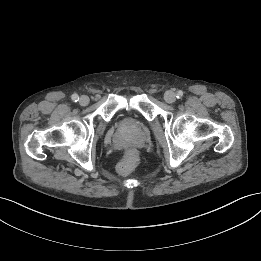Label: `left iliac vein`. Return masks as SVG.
<instances>
[{"label": "left iliac vein", "instance_id": "left-iliac-vein-1", "mask_svg": "<svg viewBox=\"0 0 261 261\" xmlns=\"http://www.w3.org/2000/svg\"><path fill=\"white\" fill-rule=\"evenodd\" d=\"M164 100L167 102V103H174L176 101V95L174 92L172 91H167L165 94H164Z\"/></svg>", "mask_w": 261, "mask_h": 261}]
</instances>
